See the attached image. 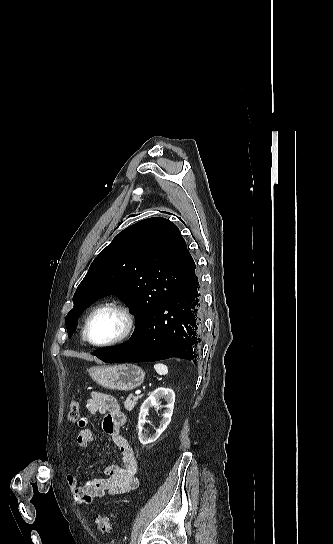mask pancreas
<instances>
[{
  "label": "pancreas",
  "instance_id": "1",
  "mask_svg": "<svg viewBox=\"0 0 333 544\" xmlns=\"http://www.w3.org/2000/svg\"><path fill=\"white\" fill-rule=\"evenodd\" d=\"M141 398V396H133L132 394H130L127 399L125 400L124 402V407L126 408V410L128 411H131L135 405H136V402Z\"/></svg>",
  "mask_w": 333,
  "mask_h": 544
}]
</instances>
